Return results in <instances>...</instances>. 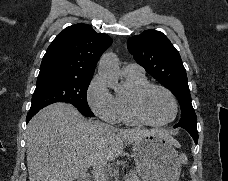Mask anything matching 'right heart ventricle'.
<instances>
[{
	"mask_svg": "<svg viewBox=\"0 0 228 181\" xmlns=\"http://www.w3.org/2000/svg\"><path fill=\"white\" fill-rule=\"evenodd\" d=\"M115 73L112 80L108 79L111 83H116L119 79L120 82L116 86V103L118 108L119 118L124 120L128 124H140L131 109V102L134 94L138 88L148 84V81L144 75H128L125 70H120ZM121 87V88H120Z\"/></svg>",
	"mask_w": 228,
	"mask_h": 181,
	"instance_id": "right-heart-ventricle-1",
	"label": "right heart ventricle"
}]
</instances>
